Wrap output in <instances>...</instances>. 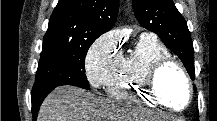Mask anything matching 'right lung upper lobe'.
<instances>
[{"label":"right lung upper lobe","mask_w":217,"mask_h":121,"mask_svg":"<svg viewBox=\"0 0 217 121\" xmlns=\"http://www.w3.org/2000/svg\"><path fill=\"white\" fill-rule=\"evenodd\" d=\"M119 0H59L45 36L65 39H97L111 30Z\"/></svg>","instance_id":"1"}]
</instances>
